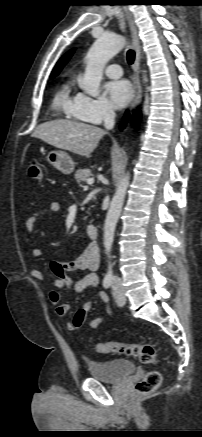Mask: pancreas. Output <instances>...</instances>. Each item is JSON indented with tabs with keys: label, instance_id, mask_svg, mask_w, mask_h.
<instances>
[{
	"label": "pancreas",
	"instance_id": "pancreas-1",
	"mask_svg": "<svg viewBox=\"0 0 202 437\" xmlns=\"http://www.w3.org/2000/svg\"><path fill=\"white\" fill-rule=\"evenodd\" d=\"M74 176H75L76 182L78 184H80L81 182L86 181L88 177L92 176V172L88 168L80 169V170L76 171Z\"/></svg>",
	"mask_w": 202,
	"mask_h": 437
}]
</instances>
